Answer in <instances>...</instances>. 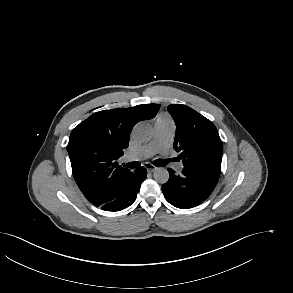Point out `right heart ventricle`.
<instances>
[{
    "label": "right heart ventricle",
    "instance_id": "obj_1",
    "mask_svg": "<svg viewBox=\"0 0 293 293\" xmlns=\"http://www.w3.org/2000/svg\"><path fill=\"white\" fill-rule=\"evenodd\" d=\"M157 121L172 122V120L167 115L160 116Z\"/></svg>",
    "mask_w": 293,
    "mask_h": 293
}]
</instances>
